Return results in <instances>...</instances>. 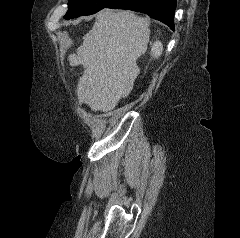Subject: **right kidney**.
I'll list each match as a JSON object with an SVG mask.
<instances>
[{
  "label": "right kidney",
  "mask_w": 240,
  "mask_h": 238,
  "mask_svg": "<svg viewBox=\"0 0 240 238\" xmlns=\"http://www.w3.org/2000/svg\"><path fill=\"white\" fill-rule=\"evenodd\" d=\"M163 46L160 41L155 42L151 48V55L154 58H158L162 54Z\"/></svg>",
  "instance_id": "1"
}]
</instances>
